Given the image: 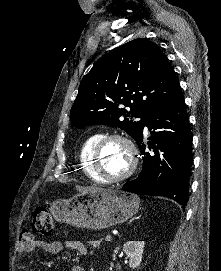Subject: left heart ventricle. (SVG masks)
<instances>
[{"label":"left heart ventricle","mask_w":221,"mask_h":271,"mask_svg":"<svg viewBox=\"0 0 221 271\" xmlns=\"http://www.w3.org/2000/svg\"><path fill=\"white\" fill-rule=\"evenodd\" d=\"M174 87V86H169ZM100 141H106L101 144L98 163L103 166L104 172H108L109 177H121V169H127L128 161H124V156H128L122 148V138H107Z\"/></svg>","instance_id":"b2bd125f"}]
</instances>
